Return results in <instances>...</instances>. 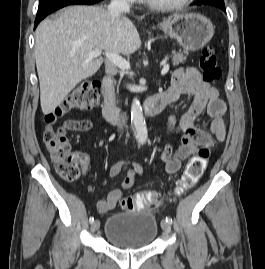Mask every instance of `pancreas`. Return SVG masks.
I'll list each match as a JSON object with an SVG mask.
<instances>
[{"mask_svg":"<svg viewBox=\"0 0 265 269\" xmlns=\"http://www.w3.org/2000/svg\"><path fill=\"white\" fill-rule=\"evenodd\" d=\"M187 54H188L187 51H179L177 53L173 52V54H172V65L176 66V65L182 63L183 61H185Z\"/></svg>","mask_w":265,"mask_h":269,"instance_id":"pancreas-1","label":"pancreas"}]
</instances>
